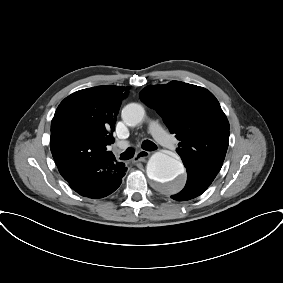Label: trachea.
I'll use <instances>...</instances> for the list:
<instances>
[{
  "label": "trachea",
  "mask_w": 283,
  "mask_h": 283,
  "mask_svg": "<svg viewBox=\"0 0 283 283\" xmlns=\"http://www.w3.org/2000/svg\"><path fill=\"white\" fill-rule=\"evenodd\" d=\"M142 148L147 151H153L157 148V146L150 140H145L142 143ZM134 155L133 148H128L125 152L121 153L120 159L121 160H128L132 158Z\"/></svg>",
  "instance_id": "obj_1"
}]
</instances>
